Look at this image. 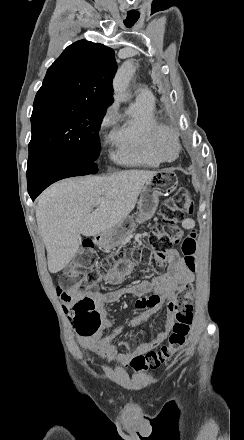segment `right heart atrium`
<instances>
[{
    "instance_id": "d8ad5b80",
    "label": "right heart atrium",
    "mask_w": 244,
    "mask_h": 440,
    "mask_svg": "<svg viewBox=\"0 0 244 440\" xmlns=\"http://www.w3.org/2000/svg\"><path fill=\"white\" fill-rule=\"evenodd\" d=\"M117 119V105L115 103L111 104L107 110L104 112L100 119V129L105 131L111 128Z\"/></svg>"
}]
</instances>
